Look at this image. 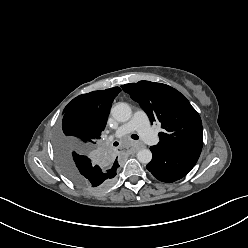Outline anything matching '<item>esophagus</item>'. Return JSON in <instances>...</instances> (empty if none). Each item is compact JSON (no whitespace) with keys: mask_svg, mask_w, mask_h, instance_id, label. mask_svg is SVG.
Here are the masks:
<instances>
[{"mask_svg":"<svg viewBox=\"0 0 248 248\" xmlns=\"http://www.w3.org/2000/svg\"><path fill=\"white\" fill-rule=\"evenodd\" d=\"M142 147V145H135L134 147H133V151H138L140 148Z\"/></svg>","mask_w":248,"mask_h":248,"instance_id":"34e87169","label":"esophagus"}]
</instances>
